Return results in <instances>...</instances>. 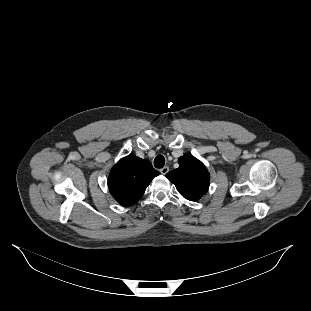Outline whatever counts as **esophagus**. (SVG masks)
<instances>
[{"instance_id":"1","label":"esophagus","mask_w":311,"mask_h":311,"mask_svg":"<svg viewBox=\"0 0 311 311\" xmlns=\"http://www.w3.org/2000/svg\"><path fill=\"white\" fill-rule=\"evenodd\" d=\"M169 171V167L165 166L162 169H160L161 174L165 175Z\"/></svg>"}]
</instances>
